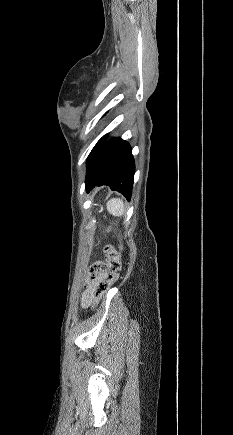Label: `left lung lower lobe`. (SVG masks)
Segmentation results:
<instances>
[{
  "label": "left lung lower lobe",
  "instance_id": "left-lung-lower-lobe-1",
  "mask_svg": "<svg viewBox=\"0 0 233 435\" xmlns=\"http://www.w3.org/2000/svg\"><path fill=\"white\" fill-rule=\"evenodd\" d=\"M107 136L98 141L87 158L85 188L89 192L95 186L109 185L129 200L135 172L131 147L120 138L105 142Z\"/></svg>",
  "mask_w": 233,
  "mask_h": 435
}]
</instances>
